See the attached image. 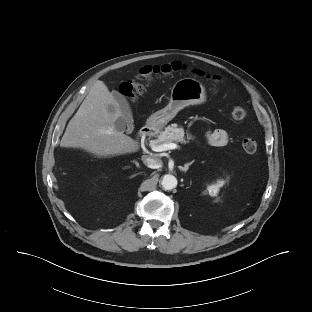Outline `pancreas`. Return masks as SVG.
Segmentation results:
<instances>
[{"instance_id": "pancreas-1", "label": "pancreas", "mask_w": 312, "mask_h": 312, "mask_svg": "<svg viewBox=\"0 0 312 312\" xmlns=\"http://www.w3.org/2000/svg\"><path fill=\"white\" fill-rule=\"evenodd\" d=\"M185 132L182 127H178L177 124H171L165 128L164 131L160 132L158 139L152 140L151 144L161 145L168 144L174 141L187 143L189 140L194 139L193 136L187 132V140L184 138Z\"/></svg>"}]
</instances>
